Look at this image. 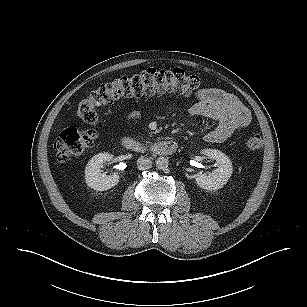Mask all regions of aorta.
<instances>
[{
    "mask_svg": "<svg viewBox=\"0 0 307 307\" xmlns=\"http://www.w3.org/2000/svg\"><path fill=\"white\" fill-rule=\"evenodd\" d=\"M155 163H156V167L160 170L166 169L169 165V161L165 157H158Z\"/></svg>",
    "mask_w": 307,
    "mask_h": 307,
    "instance_id": "762f6f07",
    "label": "aorta"
}]
</instances>
